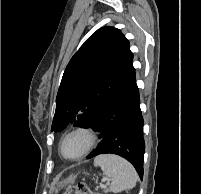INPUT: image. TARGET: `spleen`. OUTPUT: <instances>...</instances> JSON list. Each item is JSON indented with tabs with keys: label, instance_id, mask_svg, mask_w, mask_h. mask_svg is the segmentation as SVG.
Listing matches in <instances>:
<instances>
[{
	"label": "spleen",
	"instance_id": "obj_1",
	"mask_svg": "<svg viewBox=\"0 0 201 194\" xmlns=\"http://www.w3.org/2000/svg\"><path fill=\"white\" fill-rule=\"evenodd\" d=\"M94 166L100 167L103 175L112 180L110 190L113 193L130 190L136 185L137 173L134 167L117 155H99L94 159Z\"/></svg>",
	"mask_w": 201,
	"mask_h": 194
}]
</instances>
